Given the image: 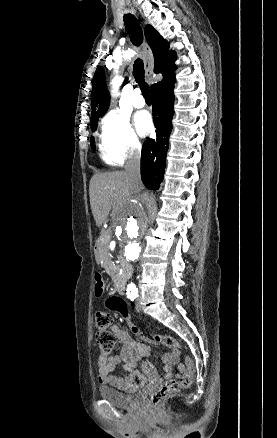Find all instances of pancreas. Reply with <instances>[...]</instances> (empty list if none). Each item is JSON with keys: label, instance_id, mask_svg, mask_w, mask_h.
<instances>
[{"label": "pancreas", "instance_id": "1", "mask_svg": "<svg viewBox=\"0 0 277 438\" xmlns=\"http://www.w3.org/2000/svg\"><path fill=\"white\" fill-rule=\"evenodd\" d=\"M111 238V231H102L101 239H97L96 241L97 248H100L101 252L103 253V267H115L116 265V253L115 251H110L111 247L109 245V241Z\"/></svg>", "mask_w": 277, "mask_h": 438}]
</instances>
